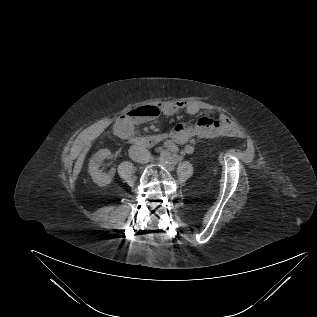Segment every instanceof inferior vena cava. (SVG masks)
Instances as JSON below:
<instances>
[{
    "mask_svg": "<svg viewBox=\"0 0 317 317\" xmlns=\"http://www.w3.org/2000/svg\"><path fill=\"white\" fill-rule=\"evenodd\" d=\"M129 156L133 161L141 164L148 163L151 160V153L149 150L138 145L130 147Z\"/></svg>",
    "mask_w": 317,
    "mask_h": 317,
    "instance_id": "inferior-vena-cava-1",
    "label": "inferior vena cava"
}]
</instances>
